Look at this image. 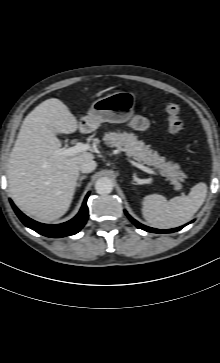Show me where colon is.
<instances>
[{"label": "colon", "mask_w": 220, "mask_h": 363, "mask_svg": "<svg viewBox=\"0 0 220 363\" xmlns=\"http://www.w3.org/2000/svg\"><path fill=\"white\" fill-rule=\"evenodd\" d=\"M166 113L168 115V126L171 133L179 134L184 129V123L180 119V105L178 103H168L166 105Z\"/></svg>", "instance_id": "obj_1"}]
</instances>
